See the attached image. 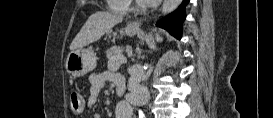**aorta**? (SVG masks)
<instances>
[{"label": "aorta", "instance_id": "762f6f07", "mask_svg": "<svg viewBox=\"0 0 273 118\" xmlns=\"http://www.w3.org/2000/svg\"><path fill=\"white\" fill-rule=\"evenodd\" d=\"M181 0H164L162 5V14L167 15L175 10L180 4Z\"/></svg>", "mask_w": 273, "mask_h": 118}]
</instances>
